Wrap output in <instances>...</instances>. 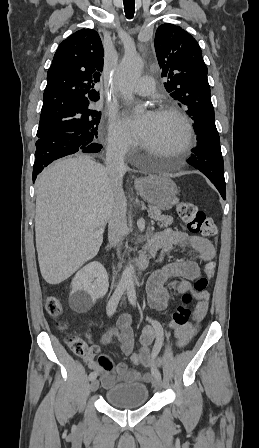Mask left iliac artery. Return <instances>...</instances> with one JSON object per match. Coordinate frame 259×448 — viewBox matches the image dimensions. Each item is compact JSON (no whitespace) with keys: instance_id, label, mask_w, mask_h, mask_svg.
Listing matches in <instances>:
<instances>
[{"instance_id":"left-iliac-artery-1","label":"left iliac artery","mask_w":259,"mask_h":448,"mask_svg":"<svg viewBox=\"0 0 259 448\" xmlns=\"http://www.w3.org/2000/svg\"><path fill=\"white\" fill-rule=\"evenodd\" d=\"M127 295H128V299H129L130 303L133 306H136V290H135V286L133 283L127 284ZM149 321L151 322V324L156 332V341H155V344H154L153 350H152V356L156 357L158 355V353L160 352L162 345H163L164 330H163L162 325L158 321L151 320V319H149ZM152 374L154 377L161 379V373L159 372L158 369L154 370L152 372Z\"/></svg>"}]
</instances>
